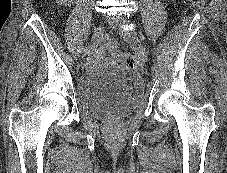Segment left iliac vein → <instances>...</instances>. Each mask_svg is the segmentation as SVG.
<instances>
[{"instance_id": "1", "label": "left iliac vein", "mask_w": 227, "mask_h": 173, "mask_svg": "<svg viewBox=\"0 0 227 173\" xmlns=\"http://www.w3.org/2000/svg\"><path fill=\"white\" fill-rule=\"evenodd\" d=\"M121 36L137 52L143 62H146L148 60L147 51L140 41L139 37L135 33L131 32L126 34L124 32H121Z\"/></svg>"}]
</instances>
